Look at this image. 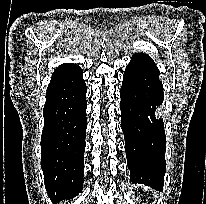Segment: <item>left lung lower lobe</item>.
<instances>
[{
    "instance_id": "obj_1",
    "label": "left lung lower lobe",
    "mask_w": 206,
    "mask_h": 204,
    "mask_svg": "<svg viewBox=\"0 0 206 204\" xmlns=\"http://www.w3.org/2000/svg\"><path fill=\"white\" fill-rule=\"evenodd\" d=\"M160 72L154 61H130L120 89L121 126L130 181L163 189L166 136L156 111L164 100Z\"/></svg>"
}]
</instances>
